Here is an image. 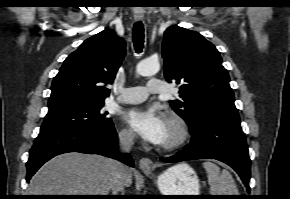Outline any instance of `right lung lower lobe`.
Returning <instances> with one entry per match:
<instances>
[{"label":"right lung lower lobe","mask_w":290,"mask_h":199,"mask_svg":"<svg viewBox=\"0 0 290 199\" xmlns=\"http://www.w3.org/2000/svg\"><path fill=\"white\" fill-rule=\"evenodd\" d=\"M80 152L99 154L117 159L134 166L129 154H121L117 149V133L113 123L105 127H85L72 130L40 133L36 138L26 163L29 181L35 172L54 156Z\"/></svg>","instance_id":"98d812e1"}]
</instances>
